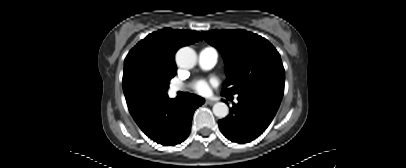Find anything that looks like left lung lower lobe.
I'll return each instance as SVG.
<instances>
[{
  "mask_svg": "<svg viewBox=\"0 0 406 168\" xmlns=\"http://www.w3.org/2000/svg\"><path fill=\"white\" fill-rule=\"evenodd\" d=\"M281 99L266 95L238 97L230 114L218 121L223 135L237 143H246L260 136L273 120Z\"/></svg>",
  "mask_w": 406,
  "mask_h": 168,
  "instance_id": "1",
  "label": "left lung lower lobe"
}]
</instances>
